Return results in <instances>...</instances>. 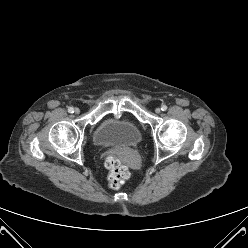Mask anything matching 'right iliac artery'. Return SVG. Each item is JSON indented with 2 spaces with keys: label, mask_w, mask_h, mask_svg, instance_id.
Here are the masks:
<instances>
[{
  "label": "right iliac artery",
  "mask_w": 248,
  "mask_h": 248,
  "mask_svg": "<svg viewBox=\"0 0 248 248\" xmlns=\"http://www.w3.org/2000/svg\"><path fill=\"white\" fill-rule=\"evenodd\" d=\"M68 112H69V113H74V108H73V107H70V108L68 109Z\"/></svg>",
  "instance_id": "82829eb1"
}]
</instances>
